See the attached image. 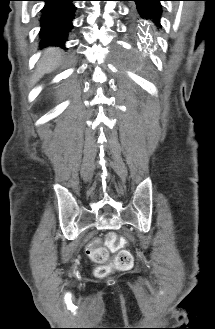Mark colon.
I'll return each instance as SVG.
<instances>
[{"label":"colon","instance_id":"1","mask_svg":"<svg viewBox=\"0 0 215 329\" xmlns=\"http://www.w3.org/2000/svg\"><path fill=\"white\" fill-rule=\"evenodd\" d=\"M124 246L125 241L112 234L107 236L103 245L96 242L89 245L87 253L99 265L97 268V274L99 276L106 275L112 266L118 269H126L132 265L133 257L128 250L124 249ZM109 250L118 251L112 264H108Z\"/></svg>","mask_w":215,"mask_h":329}]
</instances>
